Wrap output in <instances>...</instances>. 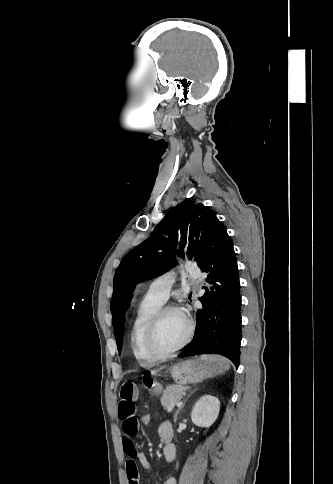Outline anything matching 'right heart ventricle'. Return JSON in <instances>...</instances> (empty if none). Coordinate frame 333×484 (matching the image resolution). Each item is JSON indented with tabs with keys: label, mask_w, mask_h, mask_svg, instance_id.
<instances>
[{
	"label": "right heart ventricle",
	"mask_w": 333,
	"mask_h": 484,
	"mask_svg": "<svg viewBox=\"0 0 333 484\" xmlns=\"http://www.w3.org/2000/svg\"><path fill=\"white\" fill-rule=\"evenodd\" d=\"M162 303L145 296L141 301L130 332V345L136 360L142 366H150L159 359L151 356L145 347V332L148 323Z\"/></svg>",
	"instance_id": "right-heart-ventricle-1"
}]
</instances>
